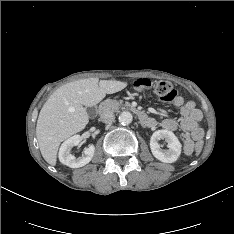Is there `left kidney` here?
Here are the masks:
<instances>
[{
  "instance_id": "obj_1",
  "label": "left kidney",
  "mask_w": 234,
  "mask_h": 234,
  "mask_svg": "<svg viewBox=\"0 0 234 234\" xmlns=\"http://www.w3.org/2000/svg\"><path fill=\"white\" fill-rule=\"evenodd\" d=\"M165 139L167 141L168 150H162L158 143L159 140ZM182 145L178 138L172 131L157 130L150 138V149L153 156L161 162L173 163L181 154Z\"/></svg>"
}]
</instances>
